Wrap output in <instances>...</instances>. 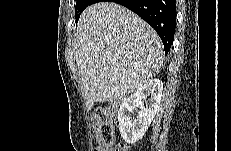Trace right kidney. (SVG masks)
<instances>
[{"instance_id": "1", "label": "right kidney", "mask_w": 231, "mask_h": 151, "mask_svg": "<svg viewBox=\"0 0 231 151\" xmlns=\"http://www.w3.org/2000/svg\"><path fill=\"white\" fill-rule=\"evenodd\" d=\"M163 91L160 79H150L135 93L126 98L118 111L121 137L128 144L143 138L159 107ZM145 99V103L142 102ZM139 107L138 117L132 120L131 114Z\"/></svg>"}]
</instances>
